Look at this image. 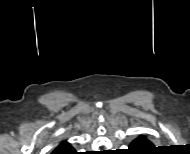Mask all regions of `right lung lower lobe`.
Instances as JSON below:
<instances>
[{"mask_svg": "<svg viewBox=\"0 0 190 154\" xmlns=\"http://www.w3.org/2000/svg\"><path fill=\"white\" fill-rule=\"evenodd\" d=\"M58 154H76V152L74 149H71V150L61 151Z\"/></svg>", "mask_w": 190, "mask_h": 154, "instance_id": "right-lung-lower-lobe-1", "label": "right lung lower lobe"}]
</instances>
